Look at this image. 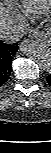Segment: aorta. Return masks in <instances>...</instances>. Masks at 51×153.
Instances as JSON below:
<instances>
[{
  "mask_svg": "<svg viewBox=\"0 0 51 153\" xmlns=\"http://www.w3.org/2000/svg\"><path fill=\"white\" fill-rule=\"evenodd\" d=\"M20 47L24 53L32 57L43 69L50 70L51 52L45 44L28 39L22 42Z\"/></svg>",
  "mask_w": 51,
  "mask_h": 153,
  "instance_id": "1",
  "label": "aorta"
}]
</instances>
